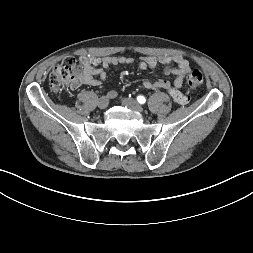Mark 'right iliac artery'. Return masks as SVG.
Wrapping results in <instances>:
<instances>
[{
	"label": "right iliac artery",
	"mask_w": 253,
	"mask_h": 253,
	"mask_svg": "<svg viewBox=\"0 0 253 253\" xmlns=\"http://www.w3.org/2000/svg\"><path fill=\"white\" fill-rule=\"evenodd\" d=\"M117 95H118L117 92L114 91V90H112V91H109V92L107 93L106 97L109 98V99H114V98L117 97Z\"/></svg>",
	"instance_id": "right-iliac-artery-1"
}]
</instances>
